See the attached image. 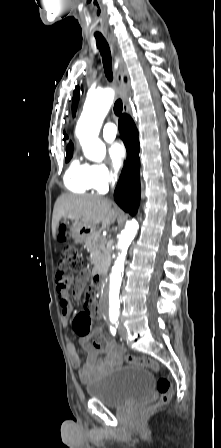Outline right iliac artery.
<instances>
[{"mask_svg":"<svg viewBox=\"0 0 221 448\" xmlns=\"http://www.w3.org/2000/svg\"><path fill=\"white\" fill-rule=\"evenodd\" d=\"M117 316H112V317H110V321H111V323H112V327H111V330H113L114 329V327H116L117 328Z\"/></svg>","mask_w":221,"mask_h":448,"instance_id":"right-iliac-artery-1","label":"right iliac artery"}]
</instances>
